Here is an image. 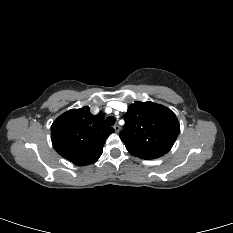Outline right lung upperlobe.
I'll use <instances>...</instances> for the list:
<instances>
[{
  "mask_svg": "<svg viewBox=\"0 0 233 233\" xmlns=\"http://www.w3.org/2000/svg\"><path fill=\"white\" fill-rule=\"evenodd\" d=\"M114 132L104 122V114L96 116L85 106L60 115L51 126L55 150L77 166L90 165L102 155L107 137Z\"/></svg>",
  "mask_w": 233,
  "mask_h": 233,
  "instance_id": "1",
  "label": "right lung upper lobe"
}]
</instances>
